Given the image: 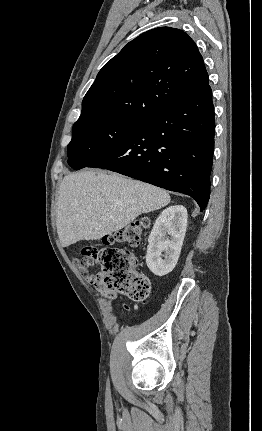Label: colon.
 I'll return each mask as SVG.
<instances>
[{
    "label": "colon",
    "mask_w": 262,
    "mask_h": 431,
    "mask_svg": "<svg viewBox=\"0 0 262 431\" xmlns=\"http://www.w3.org/2000/svg\"><path fill=\"white\" fill-rule=\"evenodd\" d=\"M148 225L147 220H142L105 236L94 253L84 248L75 257L78 271L90 274L108 290L123 293L133 301H146L151 289L148 277L137 270L138 260L131 252L115 245L137 246ZM92 266H98L99 271L92 273Z\"/></svg>",
    "instance_id": "obj_1"
}]
</instances>
